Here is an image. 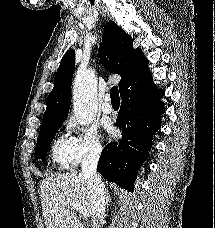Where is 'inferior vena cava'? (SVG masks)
<instances>
[{"label":"inferior vena cava","mask_w":215,"mask_h":228,"mask_svg":"<svg viewBox=\"0 0 215 228\" xmlns=\"http://www.w3.org/2000/svg\"><path fill=\"white\" fill-rule=\"evenodd\" d=\"M102 152L101 146H94L89 154L82 160L81 172L92 190V216L91 228H100V220L105 214L107 190L104 182H101L97 174V166Z\"/></svg>","instance_id":"obj_1"}]
</instances>
